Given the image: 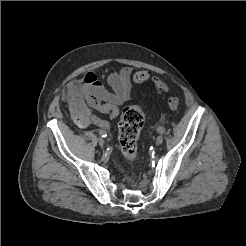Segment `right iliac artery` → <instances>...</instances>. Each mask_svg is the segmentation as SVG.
<instances>
[{"instance_id": "1", "label": "right iliac artery", "mask_w": 246, "mask_h": 246, "mask_svg": "<svg viewBox=\"0 0 246 246\" xmlns=\"http://www.w3.org/2000/svg\"><path fill=\"white\" fill-rule=\"evenodd\" d=\"M99 135H100L101 137H106V136H107V133H106V131H104V130H100V131H99Z\"/></svg>"}]
</instances>
